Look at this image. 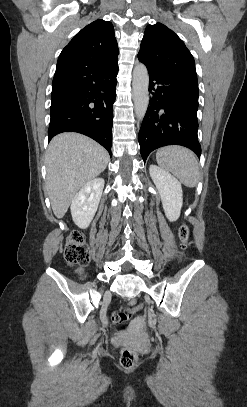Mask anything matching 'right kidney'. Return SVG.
<instances>
[{"instance_id":"right-kidney-1","label":"right kidney","mask_w":247,"mask_h":407,"mask_svg":"<svg viewBox=\"0 0 247 407\" xmlns=\"http://www.w3.org/2000/svg\"><path fill=\"white\" fill-rule=\"evenodd\" d=\"M104 188V179L96 178L84 185L74 196L71 215L74 223L82 229L87 228L97 209Z\"/></svg>"}]
</instances>
